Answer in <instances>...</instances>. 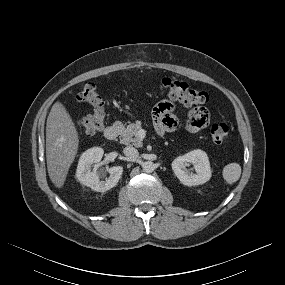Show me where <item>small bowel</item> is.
I'll return each instance as SVG.
<instances>
[{
	"label": "small bowel",
	"mask_w": 285,
	"mask_h": 285,
	"mask_svg": "<svg viewBox=\"0 0 285 285\" xmlns=\"http://www.w3.org/2000/svg\"><path fill=\"white\" fill-rule=\"evenodd\" d=\"M173 104L170 102L159 103L153 109V121L158 131H172L177 125V119L172 114ZM210 121L209 112L204 108L191 110L186 118V128L190 132H199L206 128Z\"/></svg>",
	"instance_id": "c3829d8e"
}]
</instances>
